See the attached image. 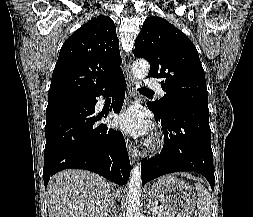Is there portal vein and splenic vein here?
Segmentation results:
<instances>
[{
	"label": "portal vein and splenic vein",
	"instance_id": "portal-vein-and-splenic-vein-1",
	"mask_svg": "<svg viewBox=\"0 0 253 217\" xmlns=\"http://www.w3.org/2000/svg\"><path fill=\"white\" fill-rule=\"evenodd\" d=\"M152 213L154 214V215H160L161 214V209H160V207H154L153 208V210H152Z\"/></svg>",
	"mask_w": 253,
	"mask_h": 217
}]
</instances>
